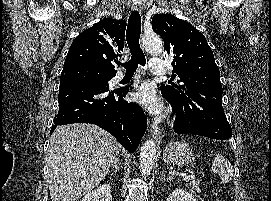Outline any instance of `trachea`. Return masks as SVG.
<instances>
[{
	"instance_id": "trachea-1",
	"label": "trachea",
	"mask_w": 271,
	"mask_h": 201,
	"mask_svg": "<svg viewBox=\"0 0 271 201\" xmlns=\"http://www.w3.org/2000/svg\"><path fill=\"white\" fill-rule=\"evenodd\" d=\"M141 34V16L133 11L128 19L126 40L131 53V59L118 65L124 66L127 74H134L138 65L145 66L146 59L139 44Z\"/></svg>"
}]
</instances>
